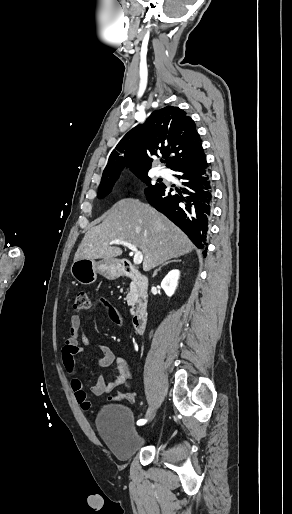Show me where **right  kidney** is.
<instances>
[{
  "mask_svg": "<svg viewBox=\"0 0 292 514\" xmlns=\"http://www.w3.org/2000/svg\"><path fill=\"white\" fill-rule=\"evenodd\" d=\"M180 272L179 270H171L167 276H165L164 280L161 282V288H163L164 292H166L167 296H173L179 280Z\"/></svg>",
  "mask_w": 292,
  "mask_h": 514,
  "instance_id": "obj_1",
  "label": "right kidney"
}]
</instances>
